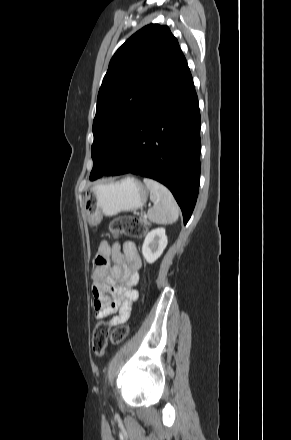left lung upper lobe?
<instances>
[{"label":"left lung upper lobe","instance_id":"5c2ea615","mask_svg":"<svg viewBox=\"0 0 291 440\" xmlns=\"http://www.w3.org/2000/svg\"><path fill=\"white\" fill-rule=\"evenodd\" d=\"M183 59L177 39L158 24L143 27L116 51L98 93L90 180L103 175Z\"/></svg>","mask_w":291,"mask_h":440}]
</instances>
